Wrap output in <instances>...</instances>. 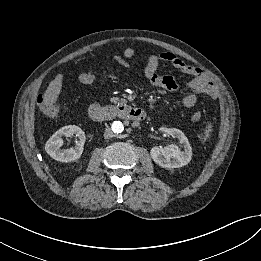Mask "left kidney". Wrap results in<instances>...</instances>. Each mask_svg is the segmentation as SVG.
<instances>
[{"label": "left kidney", "mask_w": 261, "mask_h": 261, "mask_svg": "<svg viewBox=\"0 0 261 261\" xmlns=\"http://www.w3.org/2000/svg\"><path fill=\"white\" fill-rule=\"evenodd\" d=\"M173 138H177L183 146L181 150L177 145L170 144L166 147H153L150 155L155 163L163 168H179L191 161L192 148L184 133L176 128H160Z\"/></svg>", "instance_id": "obj_1"}]
</instances>
